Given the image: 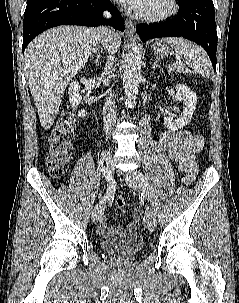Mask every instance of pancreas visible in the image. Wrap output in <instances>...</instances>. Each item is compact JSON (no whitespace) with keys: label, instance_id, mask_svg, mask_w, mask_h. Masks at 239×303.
Masks as SVG:
<instances>
[{"label":"pancreas","instance_id":"obj_1","mask_svg":"<svg viewBox=\"0 0 239 303\" xmlns=\"http://www.w3.org/2000/svg\"><path fill=\"white\" fill-rule=\"evenodd\" d=\"M174 70L181 73H189V69H187L182 63H177L175 67H173Z\"/></svg>","mask_w":239,"mask_h":303}]
</instances>
